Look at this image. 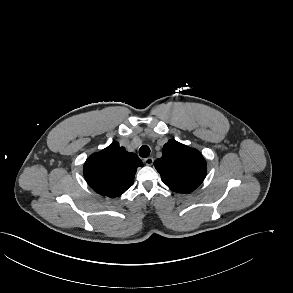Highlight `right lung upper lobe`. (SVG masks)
Here are the masks:
<instances>
[{
  "instance_id": "right-lung-upper-lobe-1",
  "label": "right lung upper lobe",
  "mask_w": 293,
  "mask_h": 293,
  "mask_svg": "<svg viewBox=\"0 0 293 293\" xmlns=\"http://www.w3.org/2000/svg\"><path fill=\"white\" fill-rule=\"evenodd\" d=\"M140 158L112 143L104 150L92 154L84 164V176L88 184L99 194L117 197L133 185Z\"/></svg>"
}]
</instances>
